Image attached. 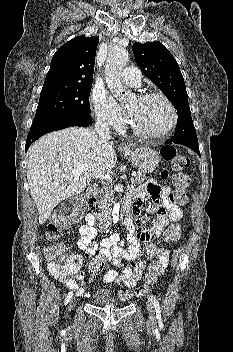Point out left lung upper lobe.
<instances>
[{
  "label": "left lung upper lobe",
  "instance_id": "left-lung-upper-lobe-1",
  "mask_svg": "<svg viewBox=\"0 0 233 352\" xmlns=\"http://www.w3.org/2000/svg\"><path fill=\"white\" fill-rule=\"evenodd\" d=\"M133 53L144 74L162 90L177 110L179 121L172 140H197L186 86L175 58L160 42L135 43Z\"/></svg>",
  "mask_w": 233,
  "mask_h": 352
}]
</instances>
